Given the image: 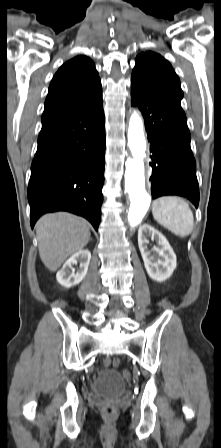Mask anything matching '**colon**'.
<instances>
[{"mask_svg":"<svg viewBox=\"0 0 221 448\" xmlns=\"http://www.w3.org/2000/svg\"><path fill=\"white\" fill-rule=\"evenodd\" d=\"M119 365H120V361L118 359H114V360L104 359L103 360V366L105 368H108L110 366L117 368V367H119ZM122 375L125 378H129L130 372L128 370H123ZM117 412H118V410H117L116 406H114L113 404L108 403L102 407L103 416L107 419H114L117 416Z\"/></svg>","mask_w":221,"mask_h":448,"instance_id":"colon-1","label":"colon"}]
</instances>
